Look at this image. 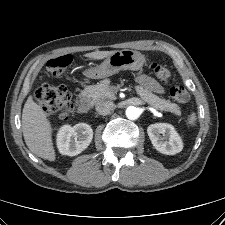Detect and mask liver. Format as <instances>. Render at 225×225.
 <instances>
[{"label":"liver","instance_id":"liver-1","mask_svg":"<svg viewBox=\"0 0 225 225\" xmlns=\"http://www.w3.org/2000/svg\"><path fill=\"white\" fill-rule=\"evenodd\" d=\"M115 51H96L85 56L91 59H104ZM22 132L30 151L43 159L54 161L56 158L52 142V128L41 106L29 96L22 112Z\"/></svg>","mask_w":225,"mask_h":225}]
</instances>
